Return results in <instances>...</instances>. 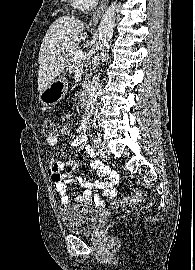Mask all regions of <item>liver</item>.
<instances>
[{
    "label": "liver",
    "mask_w": 195,
    "mask_h": 270,
    "mask_svg": "<svg viewBox=\"0 0 195 270\" xmlns=\"http://www.w3.org/2000/svg\"><path fill=\"white\" fill-rule=\"evenodd\" d=\"M83 30L84 23L69 15L59 17L50 25L39 51V93L58 78L70 55L86 39Z\"/></svg>",
    "instance_id": "6515ba94"
}]
</instances>
